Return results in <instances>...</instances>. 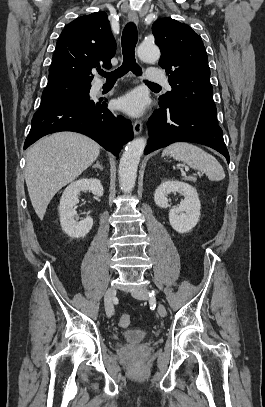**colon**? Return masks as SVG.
<instances>
[{
	"label": "colon",
	"instance_id": "obj_1",
	"mask_svg": "<svg viewBox=\"0 0 265 407\" xmlns=\"http://www.w3.org/2000/svg\"><path fill=\"white\" fill-rule=\"evenodd\" d=\"M130 322H131V317H130V315H129V314H122V315L119 317L118 325H119L120 327H122V328H125V327H127V326L130 324Z\"/></svg>",
	"mask_w": 265,
	"mask_h": 407
}]
</instances>
